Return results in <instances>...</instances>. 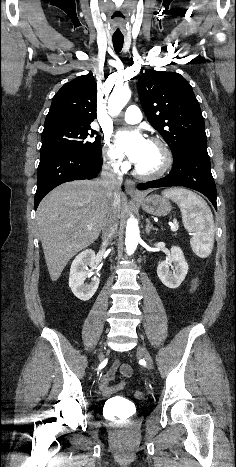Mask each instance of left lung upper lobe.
Wrapping results in <instances>:
<instances>
[{"label": "left lung upper lobe", "instance_id": "1", "mask_svg": "<svg viewBox=\"0 0 236 467\" xmlns=\"http://www.w3.org/2000/svg\"><path fill=\"white\" fill-rule=\"evenodd\" d=\"M149 123L177 158L189 145L206 143L204 119L191 85L178 73L149 70L138 81Z\"/></svg>", "mask_w": 236, "mask_h": 467}]
</instances>
